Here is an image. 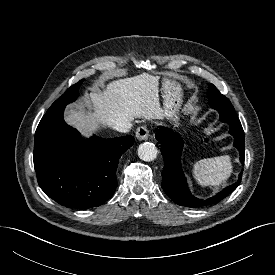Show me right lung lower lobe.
Segmentation results:
<instances>
[{"label":"right lung lower lobe","mask_w":275,"mask_h":275,"mask_svg":"<svg viewBox=\"0 0 275 275\" xmlns=\"http://www.w3.org/2000/svg\"><path fill=\"white\" fill-rule=\"evenodd\" d=\"M63 111L46 113L36 129L33 157L38 184L65 207L99 206L112 197L119 159L134 137L103 139L94 135L83 140L66 124Z\"/></svg>","instance_id":"obj_1"}]
</instances>
